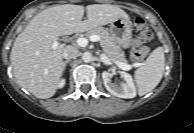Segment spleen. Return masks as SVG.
<instances>
[{
    "instance_id": "3e777b00",
    "label": "spleen",
    "mask_w": 194,
    "mask_h": 133,
    "mask_svg": "<svg viewBox=\"0 0 194 133\" xmlns=\"http://www.w3.org/2000/svg\"><path fill=\"white\" fill-rule=\"evenodd\" d=\"M165 66V56L162 47L156 48L147 58L145 64L135 73L138 94L143 96L152 91L161 81Z\"/></svg>"
}]
</instances>
